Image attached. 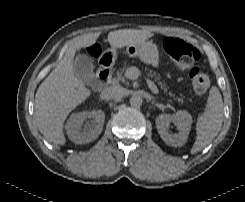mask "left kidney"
I'll return each instance as SVG.
<instances>
[{
	"mask_svg": "<svg viewBox=\"0 0 245 202\" xmlns=\"http://www.w3.org/2000/svg\"><path fill=\"white\" fill-rule=\"evenodd\" d=\"M171 121L176 122L178 134L171 135L166 125ZM192 116L189 112L179 110L176 114H161L156 118V128L162 140L170 146H183L187 139L192 125Z\"/></svg>",
	"mask_w": 245,
	"mask_h": 202,
	"instance_id": "1",
	"label": "left kidney"
}]
</instances>
